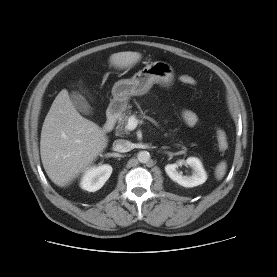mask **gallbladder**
I'll use <instances>...</instances> for the list:
<instances>
[{
    "mask_svg": "<svg viewBox=\"0 0 277 277\" xmlns=\"http://www.w3.org/2000/svg\"><path fill=\"white\" fill-rule=\"evenodd\" d=\"M72 103L74 107L81 112L82 114L85 115H91L93 113V108L90 106L88 101L80 95L78 92H72L70 94Z\"/></svg>",
    "mask_w": 277,
    "mask_h": 277,
    "instance_id": "bac80fb5",
    "label": "gallbladder"
}]
</instances>
